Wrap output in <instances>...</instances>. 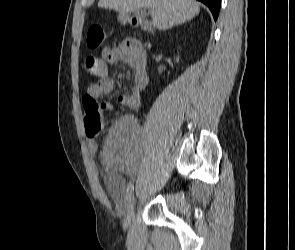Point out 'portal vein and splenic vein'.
Wrapping results in <instances>:
<instances>
[{"label": "portal vein and splenic vein", "instance_id": "1", "mask_svg": "<svg viewBox=\"0 0 295 250\" xmlns=\"http://www.w3.org/2000/svg\"><path fill=\"white\" fill-rule=\"evenodd\" d=\"M147 8H148V12L152 14L154 10L150 7H147Z\"/></svg>", "mask_w": 295, "mask_h": 250}]
</instances>
